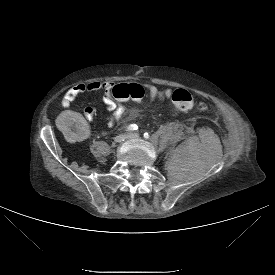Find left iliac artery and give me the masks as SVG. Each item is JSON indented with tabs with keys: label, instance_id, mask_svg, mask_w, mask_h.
<instances>
[{
	"label": "left iliac artery",
	"instance_id": "obj_1",
	"mask_svg": "<svg viewBox=\"0 0 275 275\" xmlns=\"http://www.w3.org/2000/svg\"><path fill=\"white\" fill-rule=\"evenodd\" d=\"M144 138L148 139L149 138V134L148 133H144Z\"/></svg>",
	"mask_w": 275,
	"mask_h": 275
}]
</instances>
